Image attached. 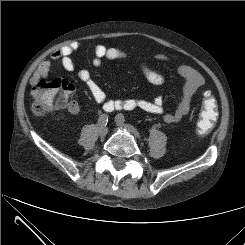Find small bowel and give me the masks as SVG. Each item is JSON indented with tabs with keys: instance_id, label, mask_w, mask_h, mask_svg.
<instances>
[{
	"instance_id": "small-bowel-1",
	"label": "small bowel",
	"mask_w": 245,
	"mask_h": 245,
	"mask_svg": "<svg viewBox=\"0 0 245 245\" xmlns=\"http://www.w3.org/2000/svg\"><path fill=\"white\" fill-rule=\"evenodd\" d=\"M79 48V45L75 42L68 43L62 48L55 50L51 53V59L60 61L63 69L66 72H75L76 67L71 58V55ZM127 56L126 52L116 47H107L104 44H98L95 46V56L93 58V65L99 66L102 64L103 59L119 60ZM156 58L168 64L179 76L183 78V84L181 87V102L177 109L174 111H166L162 98L156 97L153 99L145 98H128L121 100H110L107 98L105 91L99 86V84L92 78L91 73L87 69H80L77 71L78 78L85 84L92 98L103 105V109L107 112L115 110H134L141 109L145 112L162 115L166 123L179 122L191 109L192 101L196 93L204 85V79L202 75L194 68L185 65L179 61L173 60L164 54H159ZM52 63L50 60H44L40 63L39 67L35 71L31 82L36 83L42 78H45L50 69ZM140 70L146 80L152 85H162L165 78L162 74L154 70L146 63H140ZM69 110L72 113L79 111L77 103L72 102Z\"/></svg>"
}]
</instances>
